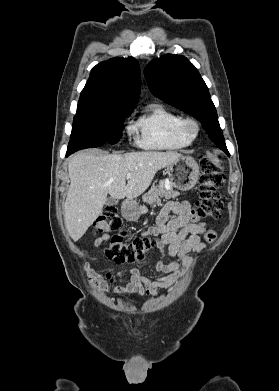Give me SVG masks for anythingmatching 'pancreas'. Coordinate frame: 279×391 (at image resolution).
I'll return each instance as SVG.
<instances>
[{"instance_id": "pancreas-1", "label": "pancreas", "mask_w": 279, "mask_h": 391, "mask_svg": "<svg viewBox=\"0 0 279 391\" xmlns=\"http://www.w3.org/2000/svg\"><path fill=\"white\" fill-rule=\"evenodd\" d=\"M178 191H174L172 187L166 188V181L162 180L159 182L158 185H153L150 190L145 193L142 197L143 202L150 206H155L156 204L160 203L161 198H165L166 200L174 199L179 196ZM140 210L142 213H146L147 207L146 206H140Z\"/></svg>"}]
</instances>
